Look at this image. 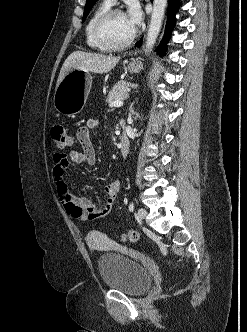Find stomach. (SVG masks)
Wrapping results in <instances>:
<instances>
[{"label": "stomach", "mask_w": 247, "mask_h": 332, "mask_svg": "<svg viewBox=\"0 0 247 332\" xmlns=\"http://www.w3.org/2000/svg\"><path fill=\"white\" fill-rule=\"evenodd\" d=\"M140 65L131 64L127 70L136 73ZM92 86V76L83 69L70 70L59 83L54 94L56 111L68 117H73L83 109Z\"/></svg>", "instance_id": "obj_1"}]
</instances>
